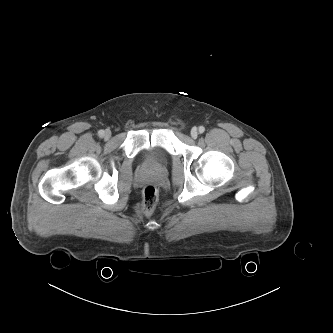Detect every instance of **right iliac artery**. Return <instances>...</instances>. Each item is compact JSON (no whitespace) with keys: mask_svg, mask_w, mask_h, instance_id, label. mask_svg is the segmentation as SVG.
<instances>
[{"mask_svg":"<svg viewBox=\"0 0 333 333\" xmlns=\"http://www.w3.org/2000/svg\"><path fill=\"white\" fill-rule=\"evenodd\" d=\"M98 135H99L100 137H102V136L104 135V130H99V131H98Z\"/></svg>","mask_w":333,"mask_h":333,"instance_id":"right-iliac-artery-1","label":"right iliac artery"}]
</instances>
